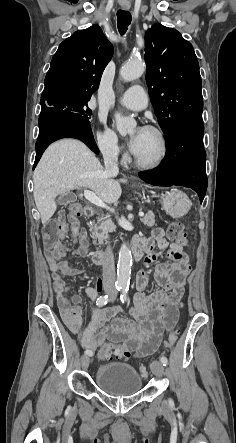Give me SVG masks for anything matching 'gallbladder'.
<instances>
[{"instance_id":"1","label":"gallbladder","mask_w":236,"mask_h":443,"mask_svg":"<svg viewBox=\"0 0 236 443\" xmlns=\"http://www.w3.org/2000/svg\"><path fill=\"white\" fill-rule=\"evenodd\" d=\"M76 200H77V196H76V194L73 193V192L68 191V192H66V193L61 194V195L58 197V199H57V203H58L59 205H66V204H69V203H73V202H75Z\"/></svg>"}]
</instances>
